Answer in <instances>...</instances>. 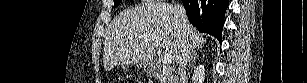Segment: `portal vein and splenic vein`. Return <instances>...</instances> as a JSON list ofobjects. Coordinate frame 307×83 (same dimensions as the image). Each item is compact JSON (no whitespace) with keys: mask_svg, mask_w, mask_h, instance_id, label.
I'll list each match as a JSON object with an SVG mask.
<instances>
[{"mask_svg":"<svg viewBox=\"0 0 307 83\" xmlns=\"http://www.w3.org/2000/svg\"><path fill=\"white\" fill-rule=\"evenodd\" d=\"M156 43H157V46H159L161 48L163 47V44H161L159 39H156ZM172 61L173 60H172V57L170 55L166 54V55L162 56L163 64L170 65L172 63Z\"/></svg>","mask_w":307,"mask_h":83,"instance_id":"1","label":"portal vein and splenic vein"}]
</instances>
